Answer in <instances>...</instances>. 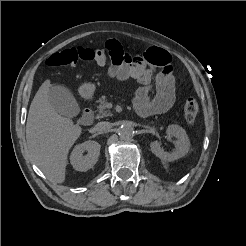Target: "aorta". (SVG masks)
<instances>
[{"label": "aorta", "instance_id": "762f6f07", "mask_svg": "<svg viewBox=\"0 0 246 246\" xmlns=\"http://www.w3.org/2000/svg\"><path fill=\"white\" fill-rule=\"evenodd\" d=\"M118 134L121 139L128 140L134 136V129L129 124H124L118 129Z\"/></svg>", "mask_w": 246, "mask_h": 246}]
</instances>
